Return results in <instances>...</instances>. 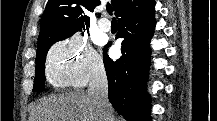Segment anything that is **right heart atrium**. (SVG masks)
<instances>
[{
  "label": "right heart atrium",
  "mask_w": 217,
  "mask_h": 121,
  "mask_svg": "<svg viewBox=\"0 0 217 121\" xmlns=\"http://www.w3.org/2000/svg\"><path fill=\"white\" fill-rule=\"evenodd\" d=\"M45 72L55 87L79 88L103 76L104 64L81 37L72 36L53 45L46 58Z\"/></svg>",
  "instance_id": "obj_1"
}]
</instances>
